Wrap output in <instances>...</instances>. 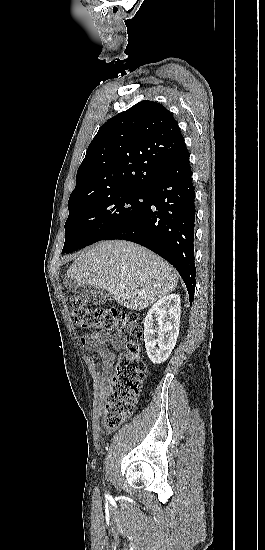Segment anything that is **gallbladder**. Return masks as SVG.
Instances as JSON below:
<instances>
[{
  "label": "gallbladder",
  "instance_id": "gallbladder-1",
  "mask_svg": "<svg viewBox=\"0 0 265 550\" xmlns=\"http://www.w3.org/2000/svg\"><path fill=\"white\" fill-rule=\"evenodd\" d=\"M66 288L77 295L84 302H89L94 305H103L106 303L110 295L106 291L96 288L89 284L77 283L71 278H67L65 281Z\"/></svg>",
  "mask_w": 265,
  "mask_h": 550
}]
</instances>
